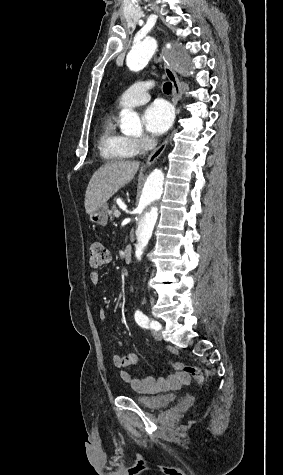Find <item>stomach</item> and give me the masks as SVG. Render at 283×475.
<instances>
[{"label": "stomach", "instance_id": "stomach-1", "mask_svg": "<svg viewBox=\"0 0 283 475\" xmlns=\"http://www.w3.org/2000/svg\"><path fill=\"white\" fill-rule=\"evenodd\" d=\"M89 220L90 222H94V224H99V226H106L108 220V204H103L96 212L89 214Z\"/></svg>", "mask_w": 283, "mask_h": 475}]
</instances>
